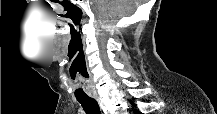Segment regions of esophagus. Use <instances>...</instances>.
Here are the masks:
<instances>
[{"label": "esophagus", "mask_w": 217, "mask_h": 114, "mask_svg": "<svg viewBox=\"0 0 217 114\" xmlns=\"http://www.w3.org/2000/svg\"><path fill=\"white\" fill-rule=\"evenodd\" d=\"M94 98L98 102L101 111L102 112H106V108L104 107V100L100 96H98V95H95Z\"/></svg>", "instance_id": "esophagus-1"}]
</instances>
